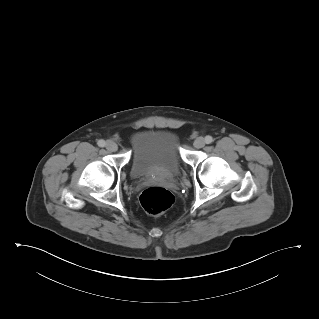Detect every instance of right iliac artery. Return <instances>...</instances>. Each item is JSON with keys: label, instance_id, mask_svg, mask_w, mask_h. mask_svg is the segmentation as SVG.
Returning a JSON list of instances; mask_svg holds the SVG:
<instances>
[{"label": "right iliac artery", "instance_id": "1", "mask_svg": "<svg viewBox=\"0 0 319 319\" xmlns=\"http://www.w3.org/2000/svg\"><path fill=\"white\" fill-rule=\"evenodd\" d=\"M106 145V142L104 140H99L98 141V146L104 147Z\"/></svg>", "mask_w": 319, "mask_h": 319}]
</instances>
